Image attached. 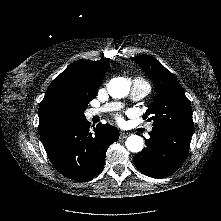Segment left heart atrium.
I'll list each match as a JSON object with an SVG mask.
<instances>
[{
  "instance_id": "obj_1",
  "label": "left heart atrium",
  "mask_w": 221,
  "mask_h": 221,
  "mask_svg": "<svg viewBox=\"0 0 221 221\" xmlns=\"http://www.w3.org/2000/svg\"><path fill=\"white\" fill-rule=\"evenodd\" d=\"M118 122L122 123V118L118 117Z\"/></svg>"
}]
</instances>
